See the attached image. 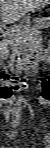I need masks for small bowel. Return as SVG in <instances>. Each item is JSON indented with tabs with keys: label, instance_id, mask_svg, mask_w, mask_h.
<instances>
[{
	"label": "small bowel",
	"instance_id": "obj_1",
	"mask_svg": "<svg viewBox=\"0 0 50 148\" xmlns=\"http://www.w3.org/2000/svg\"><path fill=\"white\" fill-rule=\"evenodd\" d=\"M3 112H4V115H5V117L7 118V119H9L10 117H11V115H12V113H13V109H12V107L10 106V105H6L5 107H4V109H3ZM43 140H44V142L46 143V147L47 148H49L50 147V145H49V137L48 136H45L44 138H43Z\"/></svg>",
	"mask_w": 50,
	"mask_h": 148
}]
</instances>
